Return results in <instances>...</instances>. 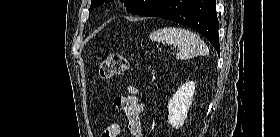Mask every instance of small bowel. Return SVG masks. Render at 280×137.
I'll return each mask as SVG.
<instances>
[{
  "mask_svg": "<svg viewBox=\"0 0 280 137\" xmlns=\"http://www.w3.org/2000/svg\"><path fill=\"white\" fill-rule=\"evenodd\" d=\"M129 92L130 94L128 95L115 97L113 99V105L125 117L132 137H142L143 125L140 115L144 110V103L137 96L139 94L137 87L129 86ZM114 127L119 128L117 124H112L107 128V130Z\"/></svg>",
  "mask_w": 280,
  "mask_h": 137,
  "instance_id": "obj_1",
  "label": "small bowel"
}]
</instances>
